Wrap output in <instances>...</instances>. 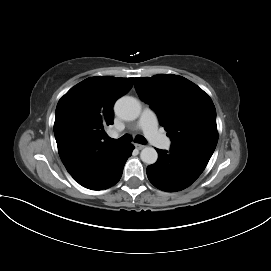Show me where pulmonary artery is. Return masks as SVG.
I'll use <instances>...</instances> for the list:
<instances>
[{
	"label": "pulmonary artery",
	"mask_w": 271,
	"mask_h": 271,
	"mask_svg": "<svg viewBox=\"0 0 271 271\" xmlns=\"http://www.w3.org/2000/svg\"><path fill=\"white\" fill-rule=\"evenodd\" d=\"M137 126L141 129L147 139L162 149L170 147V141L158 131V119L154 111L149 108L143 110Z\"/></svg>",
	"instance_id": "1"
}]
</instances>
